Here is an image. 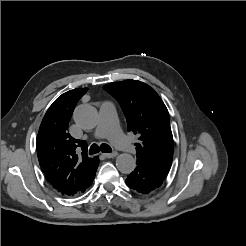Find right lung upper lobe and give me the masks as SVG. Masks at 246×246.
<instances>
[{"label": "right lung upper lobe", "instance_id": "right-lung-upper-lobe-1", "mask_svg": "<svg viewBox=\"0 0 246 246\" xmlns=\"http://www.w3.org/2000/svg\"><path fill=\"white\" fill-rule=\"evenodd\" d=\"M87 90L77 88L58 97L47 110L36 138L41 170L46 180L65 196L81 193L98 167V157L87 156L86 142L68 133L74 108ZM80 148L81 155L77 153Z\"/></svg>", "mask_w": 246, "mask_h": 246}]
</instances>
